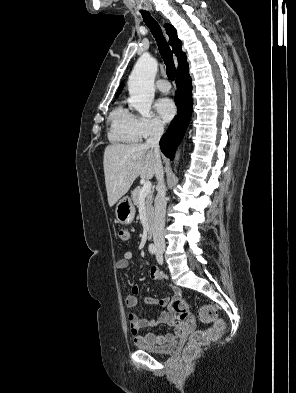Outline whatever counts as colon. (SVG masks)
<instances>
[{
    "instance_id": "obj_1",
    "label": "colon",
    "mask_w": 296,
    "mask_h": 393,
    "mask_svg": "<svg viewBox=\"0 0 296 393\" xmlns=\"http://www.w3.org/2000/svg\"><path fill=\"white\" fill-rule=\"evenodd\" d=\"M118 239L126 241L129 239V233L125 228L118 227L115 230ZM173 313L180 320L189 318L188 306L185 300L176 299L173 305ZM198 317L202 322L212 323V326L206 330H197L190 336L188 345L183 351L186 359L196 356L198 351L206 346L209 341L217 338L224 330L225 323L219 318L216 307L212 304L203 305L198 310Z\"/></svg>"
}]
</instances>
